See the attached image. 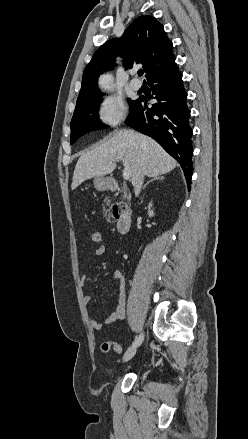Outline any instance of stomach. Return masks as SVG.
<instances>
[{
  "mask_svg": "<svg viewBox=\"0 0 248 439\" xmlns=\"http://www.w3.org/2000/svg\"><path fill=\"white\" fill-rule=\"evenodd\" d=\"M110 179L104 176H96L93 184L97 190H106L109 187Z\"/></svg>",
  "mask_w": 248,
  "mask_h": 439,
  "instance_id": "0dacf381",
  "label": "stomach"
}]
</instances>
